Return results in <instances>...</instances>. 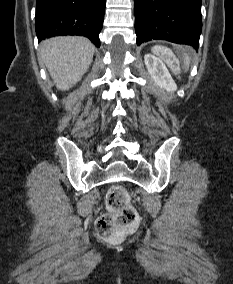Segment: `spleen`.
Listing matches in <instances>:
<instances>
[{"label": "spleen", "mask_w": 233, "mask_h": 284, "mask_svg": "<svg viewBox=\"0 0 233 284\" xmlns=\"http://www.w3.org/2000/svg\"><path fill=\"white\" fill-rule=\"evenodd\" d=\"M152 52L161 56L162 58H164L166 60V62L173 66V61H171V57L174 58V54L173 52L165 47V46H160V45H156L152 48ZM185 65H186V69H188L189 67V57L188 56H185ZM175 72H178L179 71V68H173Z\"/></svg>", "instance_id": "1"}]
</instances>
